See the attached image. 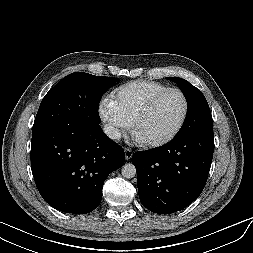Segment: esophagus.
Wrapping results in <instances>:
<instances>
[{"label":"esophagus","mask_w":253,"mask_h":253,"mask_svg":"<svg viewBox=\"0 0 253 253\" xmlns=\"http://www.w3.org/2000/svg\"><path fill=\"white\" fill-rule=\"evenodd\" d=\"M124 152H125V159L127 161L130 160L132 158V155H133L132 150L129 149V148H125Z\"/></svg>","instance_id":"esophagus-1"}]
</instances>
